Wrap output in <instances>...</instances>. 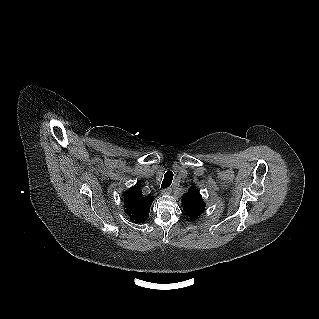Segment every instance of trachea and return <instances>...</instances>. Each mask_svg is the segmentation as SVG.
Returning <instances> with one entry per match:
<instances>
[{"instance_id": "obj_1", "label": "trachea", "mask_w": 319, "mask_h": 319, "mask_svg": "<svg viewBox=\"0 0 319 319\" xmlns=\"http://www.w3.org/2000/svg\"><path fill=\"white\" fill-rule=\"evenodd\" d=\"M172 180H173V173H172V171H167L166 173H165V175H164V179H163V181H162V185H161V187L162 188H167V187H169L170 185H171V183H172Z\"/></svg>"}]
</instances>
